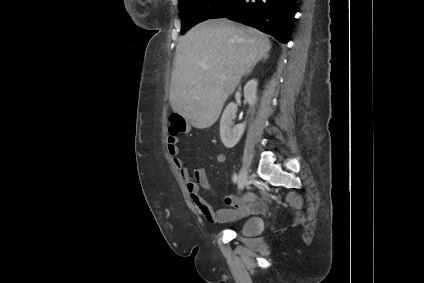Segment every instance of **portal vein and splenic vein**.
Segmentation results:
<instances>
[{
    "label": "portal vein and splenic vein",
    "mask_w": 424,
    "mask_h": 283,
    "mask_svg": "<svg viewBox=\"0 0 424 283\" xmlns=\"http://www.w3.org/2000/svg\"><path fill=\"white\" fill-rule=\"evenodd\" d=\"M202 67L205 68V69H208V66L207 65H203Z\"/></svg>",
    "instance_id": "1"
}]
</instances>
